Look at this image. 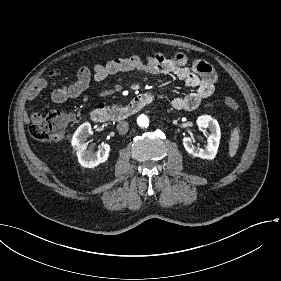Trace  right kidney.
<instances>
[{
  "instance_id": "1",
  "label": "right kidney",
  "mask_w": 281,
  "mask_h": 281,
  "mask_svg": "<svg viewBox=\"0 0 281 281\" xmlns=\"http://www.w3.org/2000/svg\"><path fill=\"white\" fill-rule=\"evenodd\" d=\"M93 133L91 124L85 122L80 125L74 133L72 145L78 150L77 156L81 166L86 168H95L100 163H104L109 158L110 145L104 143L102 149L92 153L87 149V138Z\"/></svg>"
}]
</instances>
